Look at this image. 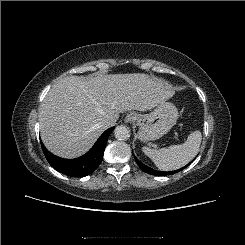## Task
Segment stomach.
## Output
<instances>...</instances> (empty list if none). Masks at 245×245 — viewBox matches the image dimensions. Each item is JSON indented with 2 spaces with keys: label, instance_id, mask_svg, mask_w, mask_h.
I'll list each match as a JSON object with an SVG mask.
<instances>
[{
  "label": "stomach",
  "instance_id": "stomach-1",
  "mask_svg": "<svg viewBox=\"0 0 245 245\" xmlns=\"http://www.w3.org/2000/svg\"><path fill=\"white\" fill-rule=\"evenodd\" d=\"M178 109L170 102L160 103L151 113L139 115L138 138L141 141H152L161 138L176 124Z\"/></svg>",
  "mask_w": 245,
  "mask_h": 245
}]
</instances>
